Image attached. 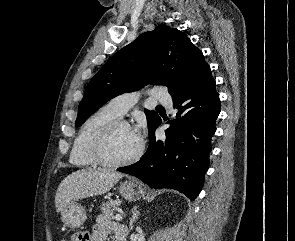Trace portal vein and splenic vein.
Returning a JSON list of instances; mask_svg holds the SVG:
<instances>
[{
  "label": "portal vein and splenic vein",
  "instance_id": "portal-vein-and-splenic-vein-1",
  "mask_svg": "<svg viewBox=\"0 0 295 241\" xmlns=\"http://www.w3.org/2000/svg\"><path fill=\"white\" fill-rule=\"evenodd\" d=\"M115 219H116L117 221H121V220H122V216H121L120 214H117V215L115 216Z\"/></svg>",
  "mask_w": 295,
  "mask_h": 241
}]
</instances>
